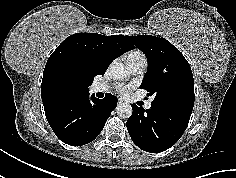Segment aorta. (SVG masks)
Instances as JSON below:
<instances>
[{"mask_svg":"<svg viewBox=\"0 0 236 178\" xmlns=\"http://www.w3.org/2000/svg\"><path fill=\"white\" fill-rule=\"evenodd\" d=\"M110 72L115 80H122L127 77L128 71L123 64H113L110 67ZM117 114L121 118H129L132 115V107L128 103H120L116 108Z\"/></svg>","mask_w":236,"mask_h":178,"instance_id":"1","label":"aorta"}]
</instances>
